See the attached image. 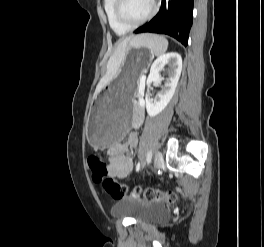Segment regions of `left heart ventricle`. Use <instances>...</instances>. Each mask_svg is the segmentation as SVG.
Instances as JSON below:
<instances>
[{"label": "left heart ventricle", "mask_w": 264, "mask_h": 247, "mask_svg": "<svg viewBox=\"0 0 264 247\" xmlns=\"http://www.w3.org/2000/svg\"><path fill=\"white\" fill-rule=\"evenodd\" d=\"M151 7V0H126L125 14L133 21L143 18Z\"/></svg>", "instance_id": "b2bd125f"}]
</instances>
